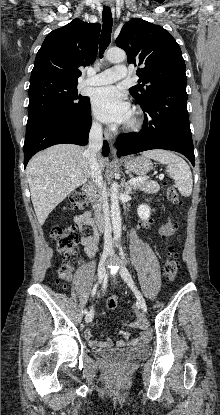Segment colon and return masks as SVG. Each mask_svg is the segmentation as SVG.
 I'll use <instances>...</instances> for the list:
<instances>
[{"mask_svg": "<svg viewBox=\"0 0 220 415\" xmlns=\"http://www.w3.org/2000/svg\"><path fill=\"white\" fill-rule=\"evenodd\" d=\"M168 200L172 204L180 203V196L178 192L168 187L167 190ZM87 195L83 191H75L71 193L69 198L70 209L73 211L82 210L87 205ZM177 229V223L172 218L165 219L159 228V232L164 237L172 236ZM51 236L55 241V249L59 256L63 259H69L75 252L78 246V235L74 227H64L60 225H54L51 229ZM178 272V264L175 259V255L172 250H168L166 253V259L164 263L165 277L172 281L175 279ZM72 274V265L70 262L65 261L58 269V276L63 283H67ZM118 305V297L113 295L106 301V308L108 310H114ZM143 339H149L150 334L148 332L142 333Z\"/></svg>", "mask_w": 220, "mask_h": 415, "instance_id": "5ec220e1", "label": "colon"}]
</instances>
